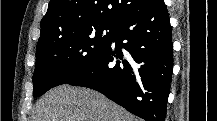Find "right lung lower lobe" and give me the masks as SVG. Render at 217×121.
<instances>
[{
    "mask_svg": "<svg viewBox=\"0 0 217 121\" xmlns=\"http://www.w3.org/2000/svg\"><path fill=\"white\" fill-rule=\"evenodd\" d=\"M173 71L163 0H148L120 23L103 54L66 84L92 88L146 121H164Z\"/></svg>",
    "mask_w": 217,
    "mask_h": 121,
    "instance_id": "right-lung-lower-lobe-1",
    "label": "right lung lower lobe"
}]
</instances>
